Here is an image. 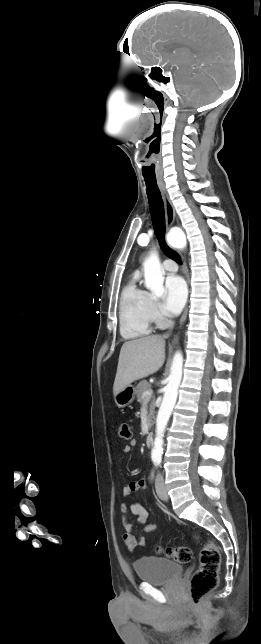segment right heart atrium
Segmentation results:
<instances>
[{
  "instance_id": "1",
  "label": "right heart atrium",
  "mask_w": 261,
  "mask_h": 644,
  "mask_svg": "<svg viewBox=\"0 0 261 644\" xmlns=\"http://www.w3.org/2000/svg\"><path fill=\"white\" fill-rule=\"evenodd\" d=\"M151 314L154 322L158 325H162L166 322V318L162 312L161 306L156 300L151 301Z\"/></svg>"
}]
</instances>
